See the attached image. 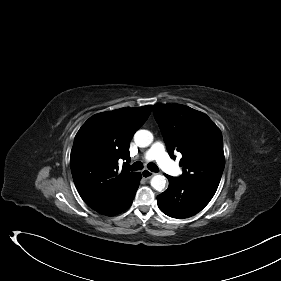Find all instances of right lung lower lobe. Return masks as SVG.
Wrapping results in <instances>:
<instances>
[{
  "instance_id": "right-lung-lower-lobe-1",
  "label": "right lung lower lobe",
  "mask_w": 281,
  "mask_h": 281,
  "mask_svg": "<svg viewBox=\"0 0 281 281\" xmlns=\"http://www.w3.org/2000/svg\"><path fill=\"white\" fill-rule=\"evenodd\" d=\"M142 178L141 174L139 173L137 178H136V181H135V184H134V187L132 188V193L129 195V197L127 198V200L123 203V205L121 206V208L116 212V213H113L111 215H115V214H118L120 212H122L123 210L127 209L131 204H132V201L135 197V193L138 189V186H139V183H140V179Z\"/></svg>"
}]
</instances>
